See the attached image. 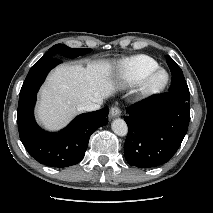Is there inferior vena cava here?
<instances>
[{
	"label": "inferior vena cava",
	"instance_id": "obj_1",
	"mask_svg": "<svg viewBox=\"0 0 213 213\" xmlns=\"http://www.w3.org/2000/svg\"><path fill=\"white\" fill-rule=\"evenodd\" d=\"M103 103L102 99H97L93 102H86L84 104H82L80 106L81 110H85V111H95V110H99L101 105Z\"/></svg>",
	"mask_w": 213,
	"mask_h": 213
}]
</instances>
